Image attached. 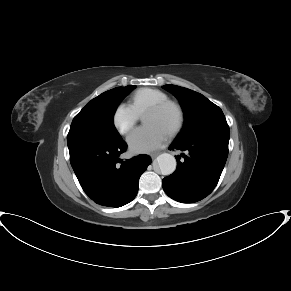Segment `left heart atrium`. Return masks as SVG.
I'll return each mask as SVG.
<instances>
[{
  "mask_svg": "<svg viewBox=\"0 0 291 291\" xmlns=\"http://www.w3.org/2000/svg\"><path fill=\"white\" fill-rule=\"evenodd\" d=\"M169 140V132L153 124L133 131L128 137L129 147L135 153H147L162 148Z\"/></svg>",
  "mask_w": 291,
  "mask_h": 291,
  "instance_id": "left-heart-atrium-1",
  "label": "left heart atrium"
}]
</instances>
